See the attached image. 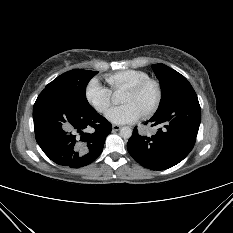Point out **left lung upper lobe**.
Masks as SVG:
<instances>
[{"instance_id":"1","label":"left lung upper lobe","mask_w":233,"mask_h":233,"mask_svg":"<svg viewBox=\"0 0 233 233\" xmlns=\"http://www.w3.org/2000/svg\"><path fill=\"white\" fill-rule=\"evenodd\" d=\"M152 68L160 81L161 101L154 115L161 113L174 98L181 86L188 83L187 79L174 69L164 65H152Z\"/></svg>"}]
</instances>
